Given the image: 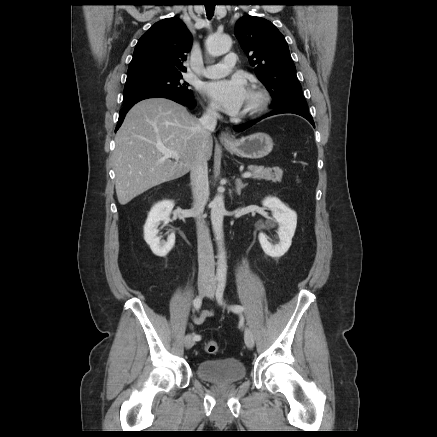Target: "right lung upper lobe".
I'll return each instance as SVG.
<instances>
[{
    "label": "right lung upper lobe",
    "instance_id": "obj_1",
    "mask_svg": "<svg viewBox=\"0 0 437 437\" xmlns=\"http://www.w3.org/2000/svg\"><path fill=\"white\" fill-rule=\"evenodd\" d=\"M191 45L192 36L179 18L163 19L138 40L127 73L185 72Z\"/></svg>",
    "mask_w": 437,
    "mask_h": 437
}]
</instances>
